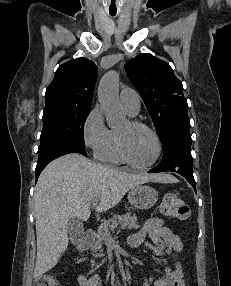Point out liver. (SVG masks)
<instances>
[{"label":"liver","instance_id":"liver-1","mask_svg":"<svg viewBox=\"0 0 231 286\" xmlns=\"http://www.w3.org/2000/svg\"><path fill=\"white\" fill-rule=\"evenodd\" d=\"M153 181L173 183L169 174H129L92 163L77 153L50 162L40 174L34 193L37 257L34 278L51 270L67 249L68 221L90 217V203L100 197L96 211L116 206L127 191Z\"/></svg>","mask_w":231,"mask_h":286}]
</instances>
